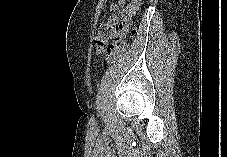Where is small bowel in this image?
Segmentation results:
<instances>
[{"label": "small bowel", "mask_w": 227, "mask_h": 157, "mask_svg": "<svg viewBox=\"0 0 227 157\" xmlns=\"http://www.w3.org/2000/svg\"><path fill=\"white\" fill-rule=\"evenodd\" d=\"M125 0H119L118 3H112L109 6V9L111 11L116 10L119 7V4H124ZM140 6V0H132L123 10V12L120 14L124 19H127L130 15L135 13V11L139 8ZM127 28V22L125 21L122 25V31L119 35V37H122L126 31Z\"/></svg>", "instance_id": "c3829d8e"}]
</instances>
